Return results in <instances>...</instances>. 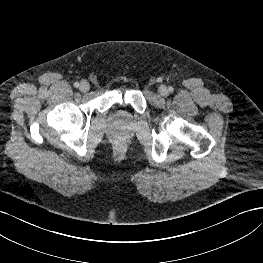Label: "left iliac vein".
<instances>
[{
  "label": "left iliac vein",
  "mask_w": 263,
  "mask_h": 263,
  "mask_svg": "<svg viewBox=\"0 0 263 263\" xmlns=\"http://www.w3.org/2000/svg\"><path fill=\"white\" fill-rule=\"evenodd\" d=\"M158 92H159V94H160L161 96H163V97H165V96L168 95V89H167V87L164 86V85H161V86L159 87Z\"/></svg>",
  "instance_id": "4c4485c4"
}]
</instances>
